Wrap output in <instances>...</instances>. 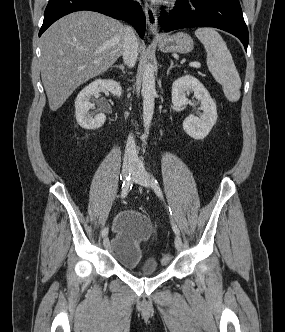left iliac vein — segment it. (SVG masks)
Instances as JSON below:
<instances>
[{
	"label": "left iliac vein",
	"mask_w": 285,
	"mask_h": 332,
	"mask_svg": "<svg viewBox=\"0 0 285 332\" xmlns=\"http://www.w3.org/2000/svg\"><path fill=\"white\" fill-rule=\"evenodd\" d=\"M133 181L140 184L144 187L151 186V180L149 174L144 170L142 165L138 163L132 172ZM175 247L177 251H181L183 249V242L180 236L175 237Z\"/></svg>",
	"instance_id": "1"
}]
</instances>
